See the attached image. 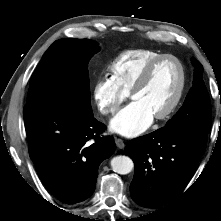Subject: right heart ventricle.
I'll return each instance as SVG.
<instances>
[{"mask_svg": "<svg viewBox=\"0 0 221 221\" xmlns=\"http://www.w3.org/2000/svg\"><path fill=\"white\" fill-rule=\"evenodd\" d=\"M163 53L151 49H130L120 53L108 66L110 79L126 94L153 59Z\"/></svg>", "mask_w": 221, "mask_h": 221, "instance_id": "right-heart-ventricle-1", "label": "right heart ventricle"}]
</instances>
